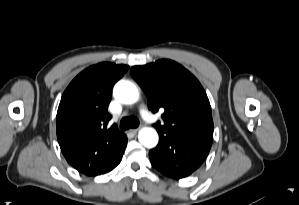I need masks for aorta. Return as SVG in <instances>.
I'll use <instances>...</instances> for the list:
<instances>
[{"instance_id": "762f6f07", "label": "aorta", "mask_w": 299, "mask_h": 205, "mask_svg": "<svg viewBox=\"0 0 299 205\" xmlns=\"http://www.w3.org/2000/svg\"><path fill=\"white\" fill-rule=\"evenodd\" d=\"M114 95L115 97L125 104H133L139 98V92L137 87L126 80H121L116 83L114 86ZM139 141L142 145L147 148H153L158 143V134L153 128H142L138 134Z\"/></svg>"}]
</instances>
